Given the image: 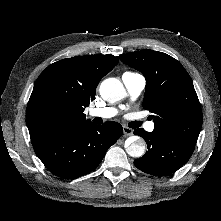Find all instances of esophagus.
Wrapping results in <instances>:
<instances>
[{"mask_svg": "<svg viewBox=\"0 0 221 221\" xmlns=\"http://www.w3.org/2000/svg\"><path fill=\"white\" fill-rule=\"evenodd\" d=\"M123 133L125 136H130L133 134V130L129 127L124 126L123 127Z\"/></svg>", "mask_w": 221, "mask_h": 221, "instance_id": "1", "label": "esophagus"}]
</instances>
